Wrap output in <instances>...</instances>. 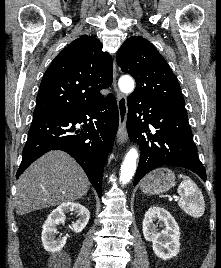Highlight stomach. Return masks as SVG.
I'll use <instances>...</instances> for the list:
<instances>
[{
  "label": "stomach",
  "mask_w": 221,
  "mask_h": 268,
  "mask_svg": "<svg viewBox=\"0 0 221 268\" xmlns=\"http://www.w3.org/2000/svg\"><path fill=\"white\" fill-rule=\"evenodd\" d=\"M175 184V175L168 168H159L149 173L141 182L140 188L145 194H160Z\"/></svg>",
  "instance_id": "stomach-1"
}]
</instances>
